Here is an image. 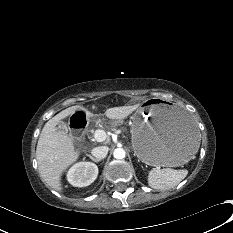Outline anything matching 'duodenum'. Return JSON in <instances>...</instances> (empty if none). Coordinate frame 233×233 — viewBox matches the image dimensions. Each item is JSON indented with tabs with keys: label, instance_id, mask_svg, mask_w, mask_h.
<instances>
[{
	"label": "duodenum",
	"instance_id": "410a0bca",
	"mask_svg": "<svg viewBox=\"0 0 233 233\" xmlns=\"http://www.w3.org/2000/svg\"><path fill=\"white\" fill-rule=\"evenodd\" d=\"M88 122V112L84 109H77L72 114L70 129L76 135L81 136L86 131Z\"/></svg>",
	"mask_w": 233,
	"mask_h": 233
}]
</instances>
